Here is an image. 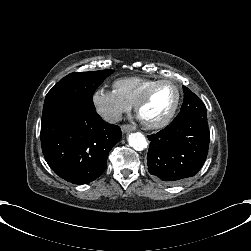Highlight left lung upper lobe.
I'll return each instance as SVG.
<instances>
[{"label":"left lung upper lobe","instance_id":"1","mask_svg":"<svg viewBox=\"0 0 251 251\" xmlns=\"http://www.w3.org/2000/svg\"><path fill=\"white\" fill-rule=\"evenodd\" d=\"M184 102L180 113L172 122H177L187 118H205L207 119V111L204 103L187 87L183 86Z\"/></svg>","mask_w":251,"mask_h":251}]
</instances>
